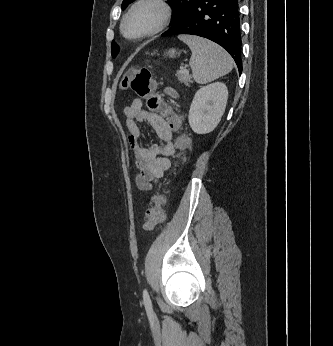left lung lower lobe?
Returning <instances> with one entry per match:
<instances>
[{
	"label": "left lung lower lobe",
	"mask_w": 333,
	"mask_h": 346,
	"mask_svg": "<svg viewBox=\"0 0 333 346\" xmlns=\"http://www.w3.org/2000/svg\"><path fill=\"white\" fill-rule=\"evenodd\" d=\"M197 35L222 46L242 72L239 0H194L186 16L162 36Z\"/></svg>",
	"instance_id": "obj_1"
}]
</instances>
